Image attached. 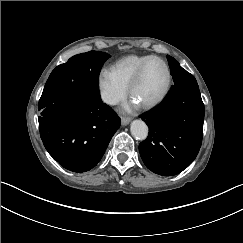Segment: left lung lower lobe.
<instances>
[{
    "instance_id": "1",
    "label": "left lung lower lobe",
    "mask_w": 243,
    "mask_h": 243,
    "mask_svg": "<svg viewBox=\"0 0 243 243\" xmlns=\"http://www.w3.org/2000/svg\"><path fill=\"white\" fill-rule=\"evenodd\" d=\"M140 118L149 127L147 139L139 145L149 170L173 176L193 162L203 137L204 104L199 87L172 89L159 106Z\"/></svg>"
}]
</instances>
